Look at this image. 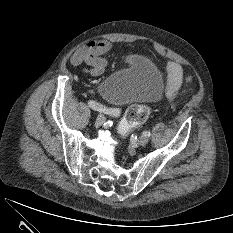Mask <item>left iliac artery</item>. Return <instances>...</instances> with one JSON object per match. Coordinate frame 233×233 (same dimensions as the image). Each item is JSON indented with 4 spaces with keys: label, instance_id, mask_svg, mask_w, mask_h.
Instances as JSON below:
<instances>
[{
    "label": "left iliac artery",
    "instance_id": "1",
    "mask_svg": "<svg viewBox=\"0 0 233 233\" xmlns=\"http://www.w3.org/2000/svg\"><path fill=\"white\" fill-rule=\"evenodd\" d=\"M143 135H145V136H147V137H150L151 133H150V131H144V132H143Z\"/></svg>",
    "mask_w": 233,
    "mask_h": 233
}]
</instances>
